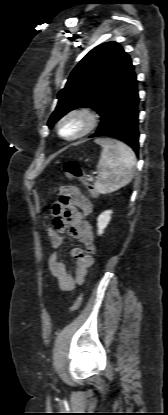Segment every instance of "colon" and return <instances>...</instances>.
Listing matches in <instances>:
<instances>
[{
	"instance_id": "5ec220e1",
	"label": "colon",
	"mask_w": 168,
	"mask_h": 415,
	"mask_svg": "<svg viewBox=\"0 0 168 415\" xmlns=\"http://www.w3.org/2000/svg\"><path fill=\"white\" fill-rule=\"evenodd\" d=\"M64 174L67 179H79L81 180V185L83 189H87L89 196H92V199H97L99 194V189L96 188L89 177L85 176V173L79 163L75 161H67L63 166ZM55 226V224H54ZM83 301V295L79 294L72 305L70 306V311H75L79 309Z\"/></svg>"
}]
</instances>
